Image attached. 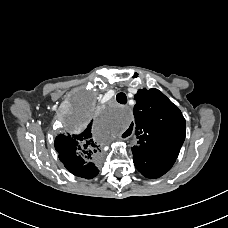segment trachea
Returning a JSON list of instances; mask_svg holds the SVG:
<instances>
[{
  "instance_id": "3493384b",
  "label": "trachea",
  "mask_w": 228,
  "mask_h": 228,
  "mask_svg": "<svg viewBox=\"0 0 228 228\" xmlns=\"http://www.w3.org/2000/svg\"><path fill=\"white\" fill-rule=\"evenodd\" d=\"M116 100L120 104H126L127 103V96L125 95V93L120 92L116 95Z\"/></svg>"
}]
</instances>
